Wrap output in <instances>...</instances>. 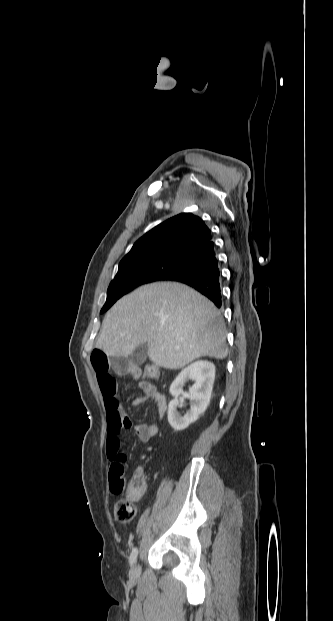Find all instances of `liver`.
I'll return each mask as SVG.
<instances>
[{"instance_id": "obj_1", "label": "liver", "mask_w": 333, "mask_h": 621, "mask_svg": "<svg viewBox=\"0 0 333 621\" xmlns=\"http://www.w3.org/2000/svg\"><path fill=\"white\" fill-rule=\"evenodd\" d=\"M142 343L157 366L180 369L196 358L228 354L220 312L207 298L176 282L145 285L106 314L96 348L128 357Z\"/></svg>"}]
</instances>
